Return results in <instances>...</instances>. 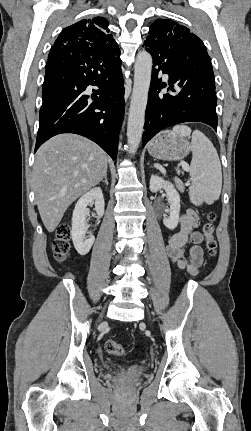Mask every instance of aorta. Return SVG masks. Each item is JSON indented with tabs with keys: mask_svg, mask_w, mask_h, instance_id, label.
<instances>
[{
	"mask_svg": "<svg viewBox=\"0 0 251 431\" xmlns=\"http://www.w3.org/2000/svg\"><path fill=\"white\" fill-rule=\"evenodd\" d=\"M151 72V55L146 51L139 52L134 65V86L127 124V141L131 154H135L142 138Z\"/></svg>",
	"mask_w": 251,
	"mask_h": 431,
	"instance_id": "obj_1",
	"label": "aorta"
}]
</instances>
